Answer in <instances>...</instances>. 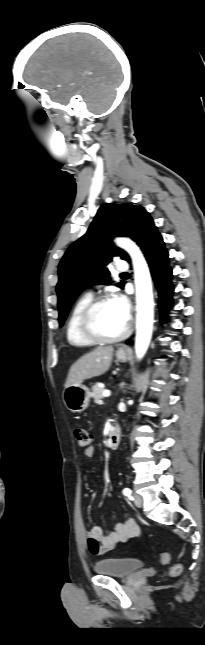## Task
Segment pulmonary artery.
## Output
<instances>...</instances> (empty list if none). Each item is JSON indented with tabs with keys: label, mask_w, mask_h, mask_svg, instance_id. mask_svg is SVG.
Instances as JSON below:
<instances>
[{
	"label": "pulmonary artery",
	"mask_w": 205,
	"mask_h": 645,
	"mask_svg": "<svg viewBox=\"0 0 205 645\" xmlns=\"http://www.w3.org/2000/svg\"><path fill=\"white\" fill-rule=\"evenodd\" d=\"M116 270L119 272H125L128 270V264L126 261L119 260L115 266Z\"/></svg>",
	"instance_id": "1"
}]
</instances>
